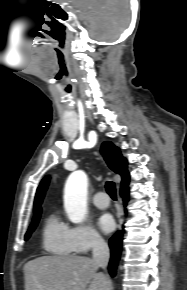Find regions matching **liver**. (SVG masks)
Returning a JSON list of instances; mask_svg holds the SVG:
<instances>
[{
  "label": "liver",
  "mask_w": 187,
  "mask_h": 290,
  "mask_svg": "<svg viewBox=\"0 0 187 290\" xmlns=\"http://www.w3.org/2000/svg\"><path fill=\"white\" fill-rule=\"evenodd\" d=\"M97 270L88 257L42 256L24 265L25 290H112L111 279Z\"/></svg>",
  "instance_id": "obj_1"
}]
</instances>
